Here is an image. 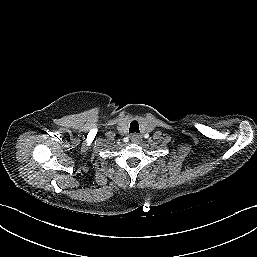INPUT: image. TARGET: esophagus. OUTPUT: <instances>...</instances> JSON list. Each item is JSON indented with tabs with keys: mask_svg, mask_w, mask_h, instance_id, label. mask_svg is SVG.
I'll return each instance as SVG.
<instances>
[{
	"mask_svg": "<svg viewBox=\"0 0 257 257\" xmlns=\"http://www.w3.org/2000/svg\"><path fill=\"white\" fill-rule=\"evenodd\" d=\"M140 139H141V137H140V135H138V134H133V135L131 136V142H132V143H138V142L140 141Z\"/></svg>",
	"mask_w": 257,
	"mask_h": 257,
	"instance_id": "1",
	"label": "esophagus"
}]
</instances>
